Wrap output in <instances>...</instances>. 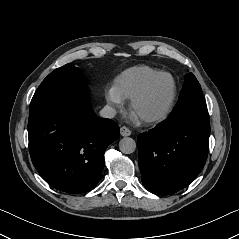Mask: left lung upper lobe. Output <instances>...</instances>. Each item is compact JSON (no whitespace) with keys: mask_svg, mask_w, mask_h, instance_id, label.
Instances as JSON below:
<instances>
[{"mask_svg":"<svg viewBox=\"0 0 239 239\" xmlns=\"http://www.w3.org/2000/svg\"><path fill=\"white\" fill-rule=\"evenodd\" d=\"M207 107L201 86L196 77L190 72L185 75L184 84L180 92L179 100L170 116L189 107Z\"/></svg>","mask_w":239,"mask_h":239,"instance_id":"1","label":"left lung upper lobe"}]
</instances>
